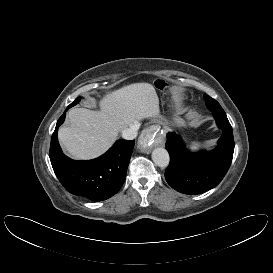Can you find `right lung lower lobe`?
Wrapping results in <instances>:
<instances>
[{
    "mask_svg": "<svg viewBox=\"0 0 273 273\" xmlns=\"http://www.w3.org/2000/svg\"><path fill=\"white\" fill-rule=\"evenodd\" d=\"M66 111L57 121L51 138L53 170L68 192L92 201L106 200L116 194L125 181L135 141L118 140L105 154L93 160H72L62 152L57 138Z\"/></svg>",
    "mask_w": 273,
    "mask_h": 273,
    "instance_id": "98d812e1",
    "label": "right lung lower lobe"
}]
</instances>
